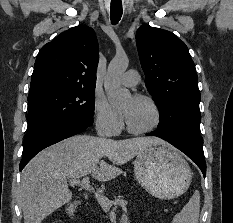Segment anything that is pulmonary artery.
<instances>
[{"label":"pulmonary artery","instance_id":"1","mask_svg":"<svg viewBox=\"0 0 233 223\" xmlns=\"http://www.w3.org/2000/svg\"><path fill=\"white\" fill-rule=\"evenodd\" d=\"M139 78L138 71L131 69L123 75L122 82L128 87H134L139 83Z\"/></svg>","mask_w":233,"mask_h":223}]
</instances>
